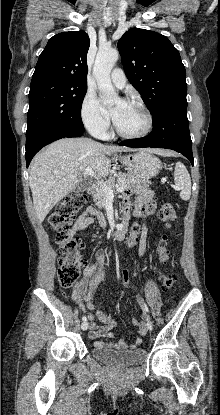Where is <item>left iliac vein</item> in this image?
I'll return each mask as SVG.
<instances>
[{
    "instance_id": "4c4485c4",
    "label": "left iliac vein",
    "mask_w": 220,
    "mask_h": 415,
    "mask_svg": "<svg viewBox=\"0 0 220 415\" xmlns=\"http://www.w3.org/2000/svg\"><path fill=\"white\" fill-rule=\"evenodd\" d=\"M147 327H148V330L152 331V329H153V323L151 322L150 319H148V321H147Z\"/></svg>"
}]
</instances>
